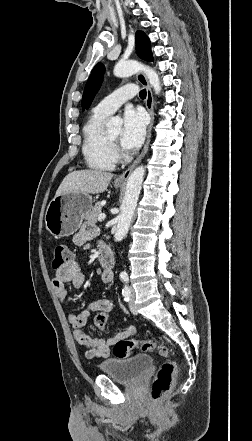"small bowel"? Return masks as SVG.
Returning <instances> with one entry per match:
<instances>
[{"mask_svg": "<svg viewBox=\"0 0 252 441\" xmlns=\"http://www.w3.org/2000/svg\"><path fill=\"white\" fill-rule=\"evenodd\" d=\"M97 235V229L91 225H85L73 236V242L76 245H84L88 241L95 238ZM113 273L110 270H103L101 273L102 283L109 285L112 283ZM53 287L58 298L61 301H66L68 298L67 284L70 283L76 290L82 289L84 285V274L82 273L79 264L72 260L65 266L56 270L53 278ZM108 303L112 304L109 299H100L89 304V306L79 313L69 311L67 319L74 328L75 339L83 346L86 347L85 356L91 358H106L109 357L112 348L115 344L123 339H126L135 333L133 326H128L118 332L115 336L101 339L97 337H91L83 331L89 315L92 312H98L103 309Z\"/></svg>", "mask_w": 252, "mask_h": 441, "instance_id": "1", "label": "small bowel"}]
</instances>
